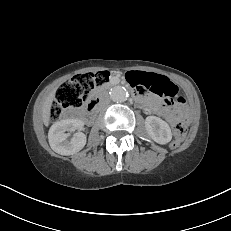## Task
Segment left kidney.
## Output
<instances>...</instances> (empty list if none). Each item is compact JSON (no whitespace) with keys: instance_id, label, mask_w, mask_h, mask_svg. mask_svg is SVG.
<instances>
[{"instance_id":"5707ae66","label":"left kidney","mask_w":231,"mask_h":231,"mask_svg":"<svg viewBox=\"0 0 231 231\" xmlns=\"http://www.w3.org/2000/svg\"><path fill=\"white\" fill-rule=\"evenodd\" d=\"M145 128L152 140L158 144H167L172 139V133L169 125L159 117L148 116L145 119Z\"/></svg>"}]
</instances>
